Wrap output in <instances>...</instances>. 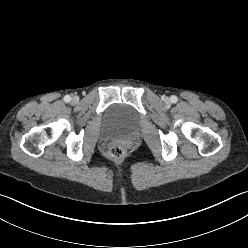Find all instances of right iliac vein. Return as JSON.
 Masks as SVG:
<instances>
[{
  "mask_svg": "<svg viewBox=\"0 0 248 248\" xmlns=\"http://www.w3.org/2000/svg\"><path fill=\"white\" fill-rule=\"evenodd\" d=\"M77 101H78V98H77V97H73V98H72V102L75 103V102H77Z\"/></svg>",
  "mask_w": 248,
  "mask_h": 248,
  "instance_id": "obj_1",
  "label": "right iliac vein"
}]
</instances>
